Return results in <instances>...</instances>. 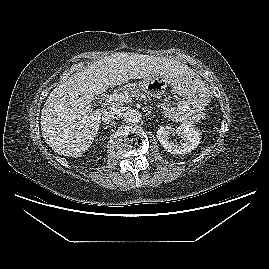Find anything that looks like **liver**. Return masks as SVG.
<instances>
[{
    "label": "liver",
    "mask_w": 269,
    "mask_h": 269,
    "mask_svg": "<svg viewBox=\"0 0 269 269\" xmlns=\"http://www.w3.org/2000/svg\"><path fill=\"white\" fill-rule=\"evenodd\" d=\"M187 75H193L187 65L165 57L127 52L104 57L50 93L41 113L42 136L59 155L78 158L91 146L99 130L103 109H93L91 102L96 95L132 79H176Z\"/></svg>",
    "instance_id": "liver-1"
}]
</instances>
